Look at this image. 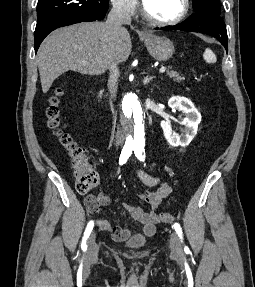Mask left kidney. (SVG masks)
Returning a JSON list of instances; mask_svg holds the SVG:
<instances>
[{
  "mask_svg": "<svg viewBox=\"0 0 255 287\" xmlns=\"http://www.w3.org/2000/svg\"><path fill=\"white\" fill-rule=\"evenodd\" d=\"M168 106L172 110H178V112H182L183 116H186V118H182L181 122H178V124H182L185 128L182 130L181 136H178V134H173L170 122H164L163 120L161 122L163 134L167 142L173 145V147H177V145L185 147L197 134L198 124L201 122V114L196 110L191 100L181 98V96H172L168 102Z\"/></svg>",
  "mask_w": 255,
  "mask_h": 287,
  "instance_id": "obj_1",
  "label": "left kidney"
}]
</instances>
